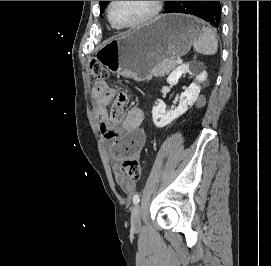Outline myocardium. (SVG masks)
Returning a JSON list of instances; mask_svg holds the SVG:
<instances>
[{
	"label": "myocardium",
	"mask_w": 271,
	"mask_h": 266,
	"mask_svg": "<svg viewBox=\"0 0 271 266\" xmlns=\"http://www.w3.org/2000/svg\"><path fill=\"white\" fill-rule=\"evenodd\" d=\"M115 1H110L107 7V18L108 21L110 22V24L116 28V29H121V30H126V29H134V28H138L140 26H143L149 22H151L152 20H154L158 14L160 13L161 9H162V1H151V10L149 11V13L144 16L142 19H140L139 21L132 23V24H127V25H121V24H117L111 15V9L112 6L114 4Z\"/></svg>",
	"instance_id": "1"
}]
</instances>
